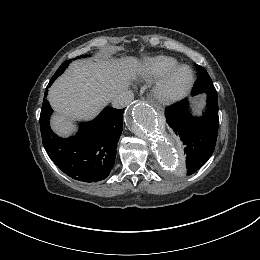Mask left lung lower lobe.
Returning <instances> with one entry per match:
<instances>
[{"label": "left lung lower lobe", "mask_w": 260, "mask_h": 260, "mask_svg": "<svg viewBox=\"0 0 260 260\" xmlns=\"http://www.w3.org/2000/svg\"><path fill=\"white\" fill-rule=\"evenodd\" d=\"M196 95V94H195ZM207 106L201 116L190 113L188 99L165 109L172 133L181 141L188 175L200 169L211 157L218 134L217 92H206Z\"/></svg>", "instance_id": "obj_1"}]
</instances>
